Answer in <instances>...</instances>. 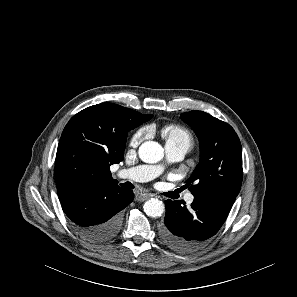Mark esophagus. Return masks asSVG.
Here are the masks:
<instances>
[{"label": "esophagus", "mask_w": 297, "mask_h": 297, "mask_svg": "<svg viewBox=\"0 0 297 297\" xmlns=\"http://www.w3.org/2000/svg\"><path fill=\"white\" fill-rule=\"evenodd\" d=\"M151 197H152V194L150 193H138L135 198L137 201L143 202Z\"/></svg>", "instance_id": "34e87169"}]
</instances>
